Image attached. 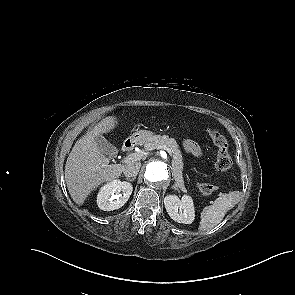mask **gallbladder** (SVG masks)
<instances>
[{"label":"gallbladder","mask_w":295,"mask_h":295,"mask_svg":"<svg viewBox=\"0 0 295 295\" xmlns=\"http://www.w3.org/2000/svg\"><path fill=\"white\" fill-rule=\"evenodd\" d=\"M95 141L97 143V146L99 149L106 155H108L110 158L115 157L117 150L116 148L109 143L104 137L102 136H97L95 138Z\"/></svg>","instance_id":"bac80fb5"}]
</instances>
